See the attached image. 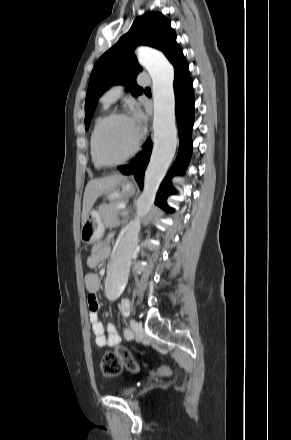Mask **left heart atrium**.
Returning a JSON list of instances; mask_svg holds the SVG:
<instances>
[{"label": "left heart atrium", "mask_w": 291, "mask_h": 440, "mask_svg": "<svg viewBox=\"0 0 291 440\" xmlns=\"http://www.w3.org/2000/svg\"><path fill=\"white\" fill-rule=\"evenodd\" d=\"M130 121L135 129V131L138 133L143 125V116L139 111H135L133 115L130 118Z\"/></svg>", "instance_id": "1"}]
</instances>
